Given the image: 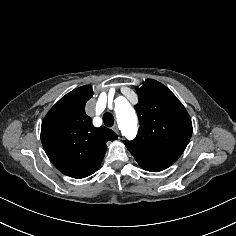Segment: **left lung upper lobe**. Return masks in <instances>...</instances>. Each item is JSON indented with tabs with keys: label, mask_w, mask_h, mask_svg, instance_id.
I'll use <instances>...</instances> for the list:
<instances>
[{
	"label": "left lung upper lobe",
	"mask_w": 236,
	"mask_h": 236,
	"mask_svg": "<svg viewBox=\"0 0 236 236\" xmlns=\"http://www.w3.org/2000/svg\"><path fill=\"white\" fill-rule=\"evenodd\" d=\"M137 93L139 133L124 143L144 170L162 171L180 157L189 143L191 119L177 97L156 80L147 79Z\"/></svg>",
	"instance_id": "left-lung-upper-lobe-1"
}]
</instances>
